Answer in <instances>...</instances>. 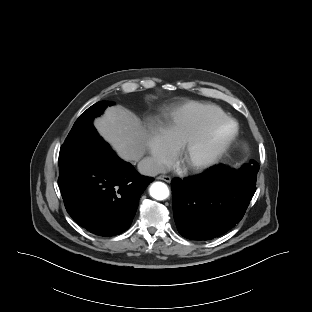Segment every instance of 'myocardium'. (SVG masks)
I'll use <instances>...</instances> for the list:
<instances>
[{
    "instance_id": "myocardium-1",
    "label": "myocardium",
    "mask_w": 312,
    "mask_h": 312,
    "mask_svg": "<svg viewBox=\"0 0 312 312\" xmlns=\"http://www.w3.org/2000/svg\"><path fill=\"white\" fill-rule=\"evenodd\" d=\"M223 127L227 128L226 134L212 146L203 158L196 162L185 164L188 170L200 172L214 165L237 138L239 126L234 119L226 117L213 122L198 134L182 143L179 150V159L184 163L186 157L194 149L211 139Z\"/></svg>"
}]
</instances>
